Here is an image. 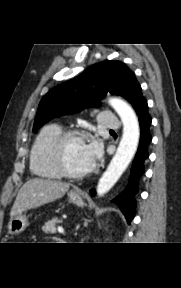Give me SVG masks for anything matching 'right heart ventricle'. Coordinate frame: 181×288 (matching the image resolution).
Returning a JSON list of instances; mask_svg holds the SVG:
<instances>
[{
	"instance_id": "right-heart-ventricle-1",
	"label": "right heart ventricle",
	"mask_w": 181,
	"mask_h": 288,
	"mask_svg": "<svg viewBox=\"0 0 181 288\" xmlns=\"http://www.w3.org/2000/svg\"><path fill=\"white\" fill-rule=\"evenodd\" d=\"M62 132V126L56 123L48 124L40 130L30 152V169L34 175L43 179L62 177L52 157L53 144Z\"/></svg>"
}]
</instances>
